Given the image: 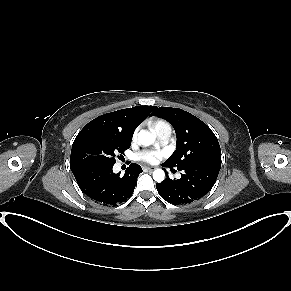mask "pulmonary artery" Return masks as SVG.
I'll use <instances>...</instances> for the list:
<instances>
[{"instance_id":"obj_1","label":"pulmonary artery","mask_w":291,"mask_h":291,"mask_svg":"<svg viewBox=\"0 0 291 291\" xmlns=\"http://www.w3.org/2000/svg\"><path fill=\"white\" fill-rule=\"evenodd\" d=\"M157 136L160 144L166 145L170 142L172 138V128L170 125H166L164 127L159 128L157 131Z\"/></svg>"}]
</instances>
